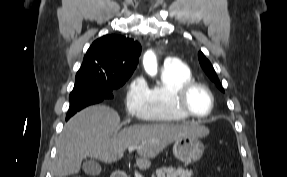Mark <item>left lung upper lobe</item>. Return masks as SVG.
Masks as SVG:
<instances>
[{
  "label": "left lung upper lobe",
  "instance_id": "5c2ea615",
  "mask_svg": "<svg viewBox=\"0 0 287 177\" xmlns=\"http://www.w3.org/2000/svg\"><path fill=\"white\" fill-rule=\"evenodd\" d=\"M199 61H200L202 68L204 69L206 74L209 76V78L216 83L217 87L221 91H224L213 66L211 65L209 60L206 59L205 55L201 51L199 52Z\"/></svg>",
  "mask_w": 287,
  "mask_h": 177
}]
</instances>
